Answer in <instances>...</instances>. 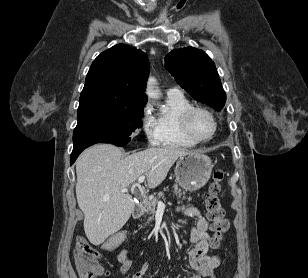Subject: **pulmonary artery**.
<instances>
[{"mask_svg": "<svg viewBox=\"0 0 308 278\" xmlns=\"http://www.w3.org/2000/svg\"><path fill=\"white\" fill-rule=\"evenodd\" d=\"M182 94V92L178 88H170L167 90V95H177Z\"/></svg>", "mask_w": 308, "mask_h": 278, "instance_id": "pulmonary-artery-1", "label": "pulmonary artery"}]
</instances>
